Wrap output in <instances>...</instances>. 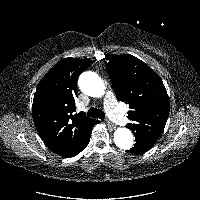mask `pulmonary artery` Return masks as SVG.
I'll return each mask as SVG.
<instances>
[{
  "label": "pulmonary artery",
  "instance_id": "1",
  "mask_svg": "<svg viewBox=\"0 0 200 200\" xmlns=\"http://www.w3.org/2000/svg\"><path fill=\"white\" fill-rule=\"evenodd\" d=\"M104 104L108 109L109 116L120 125L127 123V117L121 112L113 92L108 91L104 97Z\"/></svg>",
  "mask_w": 200,
  "mask_h": 200
}]
</instances>
